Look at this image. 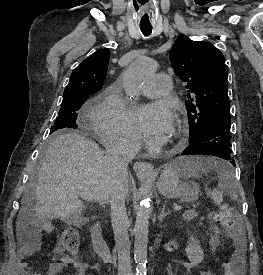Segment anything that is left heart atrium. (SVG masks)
Here are the masks:
<instances>
[{"label":"left heart atrium","mask_w":263,"mask_h":275,"mask_svg":"<svg viewBox=\"0 0 263 275\" xmlns=\"http://www.w3.org/2000/svg\"><path fill=\"white\" fill-rule=\"evenodd\" d=\"M173 113L170 107L157 102L139 107L135 124L141 138L149 145L156 146L165 142L173 128Z\"/></svg>","instance_id":"obj_1"}]
</instances>
